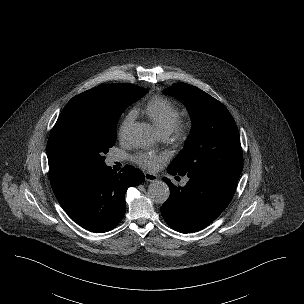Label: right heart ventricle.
Masks as SVG:
<instances>
[{"label": "right heart ventricle", "instance_id": "right-heart-ventricle-1", "mask_svg": "<svg viewBox=\"0 0 304 304\" xmlns=\"http://www.w3.org/2000/svg\"><path fill=\"white\" fill-rule=\"evenodd\" d=\"M145 113L163 135L171 132L174 123L179 118L178 107L162 96H154L149 99L145 105Z\"/></svg>", "mask_w": 304, "mask_h": 304}]
</instances>
